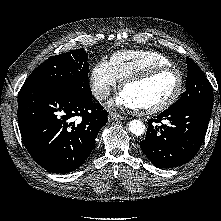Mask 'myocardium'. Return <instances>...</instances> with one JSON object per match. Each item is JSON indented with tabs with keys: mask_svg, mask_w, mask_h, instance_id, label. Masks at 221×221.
<instances>
[{
	"mask_svg": "<svg viewBox=\"0 0 221 221\" xmlns=\"http://www.w3.org/2000/svg\"><path fill=\"white\" fill-rule=\"evenodd\" d=\"M164 72H175L178 75V86L174 94L168 98L166 101L150 107V108H145V109H133L135 113L139 115H152V114H157L160 113L168 108H170L172 105H174L177 100L180 98V96L183 93V89L185 86V77L183 72L171 65V66H157V67H151L149 69L140 71L136 74H133L131 76H128L125 78L120 85V90L123 91L127 86L134 84V83H139L142 81H145L147 79H150L160 73Z\"/></svg>",
	"mask_w": 221,
	"mask_h": 221,
	"instance_id": "obj_1",
	"label": "myocardium"
}]
</instances>
